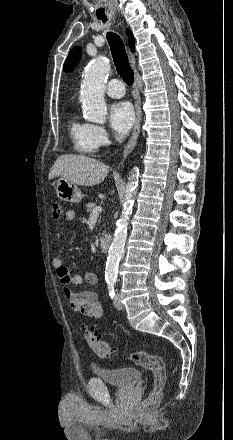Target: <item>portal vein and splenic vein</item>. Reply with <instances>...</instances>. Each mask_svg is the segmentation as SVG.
<instances>
[{
    "label": "portal vein and splenic vein",
    "mask_w": 233,
    "mask_h": 440,
    "mask_svg": "<svg viewBox=\"0 0 233 440\" xmlns=\"http://www.w3.org/2000/svg\"><path fill=\"white\" fill-rule=\"evenodd\" d=\"M101 212H102V207H101V206H97V207L93 210L92 215H96V214H99V213H101Z\"/></svg>",
    "instance_id": "18ae733b"
}]
</instances>
